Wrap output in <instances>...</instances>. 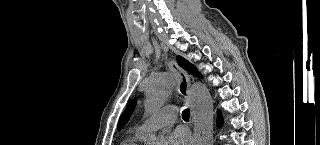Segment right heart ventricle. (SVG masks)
Returning a JSON list of instances; mask_svg holds the SVG:
<instances>
[{
  "mask_svg": "<svg viewBox=\"0 0 320 145\" xmlns=\"http://www.w3.org/2000/svg\"><path fill=\"white\" fill-rule=\"evenodd\" d=\"M144 136L145 135L135 131L127 136L122 145H139L140 142L144 139Z\"/></svg>",
  "mask_w": 320,
  "mask_h": 145,
  "instance_id": "obj_1",
  "label": "right heart ventricle"
}]
</instances>
